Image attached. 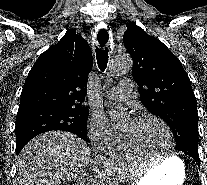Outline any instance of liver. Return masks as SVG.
<instances>
[{
    "instance_id": "liver-1",
    "label": "liver",
    "mask_w": 207,
    "mask_h": 185,
    "mask_svg": "<svg viewBox=\"0 0 207 185\" xmlns=\"http://www.w3.org/2000/svg\"><path fill=\"white\" fill-rule=\"evenodd\" d=\"M96 155L73 133L49 131L31 139L16 163L17 185H69L80 181Z\"/></svg>"
}]
</instances>
